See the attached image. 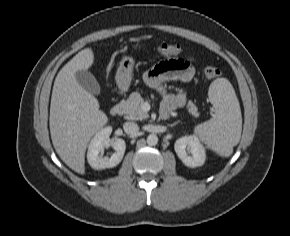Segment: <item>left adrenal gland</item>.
Segmentation results:
<instances>
[{
  "label": "left adrenal gland",
  "mask_w": 290,
  "mask_h": 236,
  "mask_svg": "<svg viewBox=\"0 0 290 236\" xmlns=\"http://www.w3.org/2000/svg\"><path fill=\"white\" fill-rule=\"evenodd\" d=\"M180 121H176L175 123H173V124H171V125H169L170 127H173V126H175L176 124H178Z\"/></svg>",
  "instance_id": "obj_1"
}]
</instances>
